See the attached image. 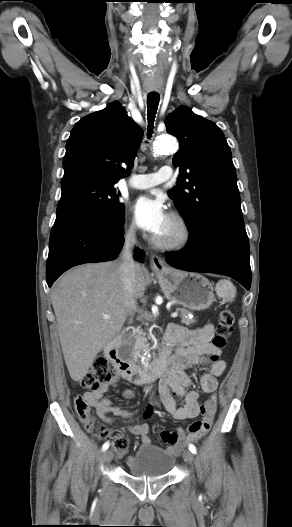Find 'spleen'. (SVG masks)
Masks as SVG:
<instances>
[{
	"label": "spleen",
	"mask_w": 292,
	"mask_h": 527,
	"mask_svg": "<svg viewBox=\"0 0 292 527\" xmlns=\"http://www.w3.org/2000/svg\"><path fill=\"white\" fill-rule=\"evenodd\" d=\"M216 294L219 298L226 301H233L236 296V288L229 280L222 279L218 281L215 287Z\"/></svg>",
	"instance_id": "spleen-1"
}]
</instances>
